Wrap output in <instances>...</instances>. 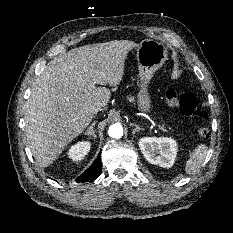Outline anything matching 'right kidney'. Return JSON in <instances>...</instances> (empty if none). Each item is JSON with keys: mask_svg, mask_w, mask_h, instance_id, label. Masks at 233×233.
Segmentation results:
<instances>
[{"mask_svg": "<svg viewBox=\"0 0 233 233\" xmlns=\"http://www.w3.org/2000/svg\"><path fill=\"white\" fill-rule=\"evenodd\" d=\"M91 144L88 141L78 142L72 145L68 150V157L74 162L82 160L90 151Z\"/></svg>", "mask_w": 233, "mask_h": 233, "instance_id": "right-kidney-1", "label": "right kidney"}]
</instances>
